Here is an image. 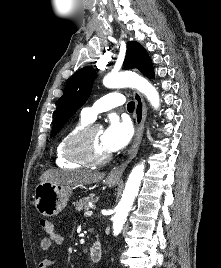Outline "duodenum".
<instances>
[{"label":"duodenum","instance_id":"1","mask_svg":"<svg viewBox=\"0 0 221 268\" xmlns=\"http://www.w3.org/2000/svg\"><path fill=\"white\" fill-rule=\"evenodd\" d=\"M103 256V247L100 241H96L90 248L89 258L92 262H99Z\"/></svg>","mask_w":221,"mask_h":268}]
</instances>
